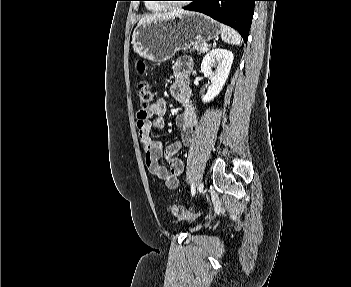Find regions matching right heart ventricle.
<instances>
[{
    "label": "right heart ventricle",
    "instance_id": "right-heart-ventricle-1",
    "mask_svg": "<svg viewBox=\"0 0 351 287\" xmlns=\"http://www.w3.org/2000/svg\"><path fill=\"white\" fill-rule=\"evenodd\" d=\"M147 8H148L150 11H153V12L162 11V7H161V6L156 5V4H152V3H148V4H147Z\"/></svg>",
    "mask_w": 351,
    "mask_h": 287
}]
</instances>
